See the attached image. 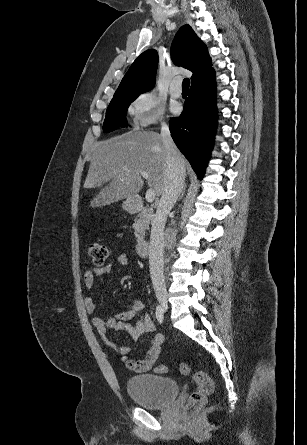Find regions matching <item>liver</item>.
<instances>
[{"mask_svg": "<svg viewBox=\"0 0 307 445\" xmlns=\"http://www.w3.org/2000/svg\"><path fill=\"white\" fill-rule=\"evenodd\" d=\"M165 164V144L158 132L130 130L96 142L83 186L100 190L91 198L89 206H106L140 192L144 186L140 170L150 174L148 184L156 196H160Z\"/></svg>", "mask_w": 307, "mask_h": 445, "instance_id": "6515ba94", "label": "liver"}]
</instances>
